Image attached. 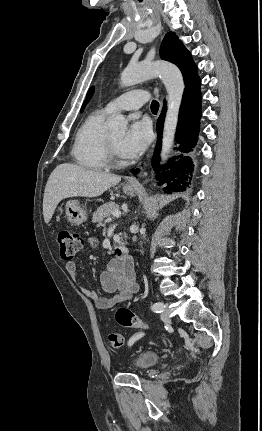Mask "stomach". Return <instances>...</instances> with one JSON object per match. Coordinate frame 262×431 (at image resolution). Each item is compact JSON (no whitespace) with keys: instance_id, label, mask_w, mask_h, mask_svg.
I'll use <instances>...</instances> for the list:
<instances>
[{"instance_id":"obj_1","label":"stomach","mask_w":262,"mask_h":431,"mask_svg":"<svg viewBox=\"0 0 262 431\" xmlns=\"http://www.w3.org/2000/svg\"><path fill=\"white\" fill-rule=\"evenodd\" d=\"M137 188L125 185L123 191L128 196H134ZM66 216L71 224L80 225L87 220V212L81 207L78 200H69L65 206Z\"/></svg>"}]
</instances>
